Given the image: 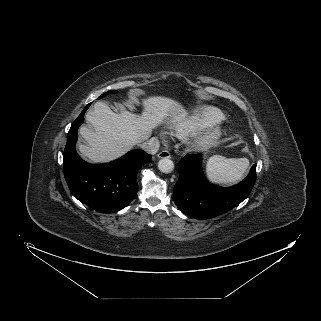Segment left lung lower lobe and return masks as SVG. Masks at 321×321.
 <instances>
[{
	"instance_id": "left-lung-lower-lobe-1",
	"label": "left lung lower lobe",
	"mask_w": 321,
	"mask_h": 321,
	"mask_svg": "<svg viewBox=\"0 0 321 321\" xmlns=\"http://www.w3.org/2000/svg\"><path fill=\"white\" fill-rule=\"evenodd\" d=\"M201 154L185 156L180 161L179 180L173 197L177 207L186 215L208 219L221 215L245 200L256 180V164L239 184L223 188L211 184L202 172Z\"/></svg>"
}]
</instances>
